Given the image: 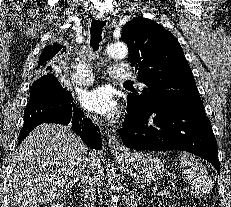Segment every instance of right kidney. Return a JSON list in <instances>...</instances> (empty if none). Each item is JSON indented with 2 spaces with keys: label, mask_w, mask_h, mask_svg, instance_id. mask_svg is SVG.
Instances as JSON below:
<instances>
[{
  "label": "right kidney",
  "mask_w": 231,
  "mask_h": 207,
  "mask_svg": "<svg viewBox=\"0 0 231 207\" xmlns=\"http://www.w3.org/2000/svg\"><path fill=\"white\" fill-rule=\"evenodd\" d=\"M51 207H64V204L58 202V203L51 204Z\"/></svg>",
  "instance_id": "right-kidney-1"
}]
</instances>
